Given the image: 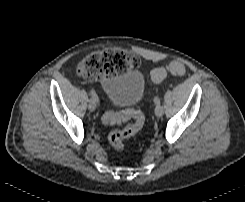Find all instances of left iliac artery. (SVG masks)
Wrapping results in <instances>:
<instances>
[{
	"instance_id": "obj_1",
	"label": "left iliac artery",
	"mask_w": 245,
	"mask_h": 202,
	"mask_svg": "<svg viewBox=\"0 0 245 202\" xmlns=\"http://www.w3.org/2000/svg\"><path fill=\"white\" fill-rule=\"evenodd\" d=\"M153 101H154L155 105H160V103H161L160 98H158V97H155Z\"/></svg>"
}]
</instances>
